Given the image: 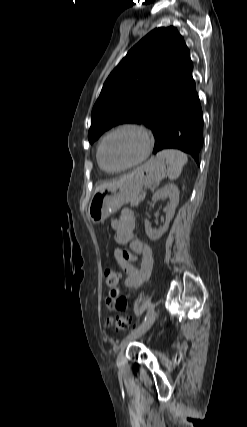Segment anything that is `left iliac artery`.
<instances>
[{
  "label": "left iliac artery",
  "instance_id": "obj_1",
  "mask_svg": "<svg viewBox=\"0 0 247 427\" xmlns=\"http://www.w3.org/2000/svg\"><path fill=\"white\" fill-rule=\"evenodd\" d=\"M153 312H154V306L151 304V305L148 306L147 314H146V316H145L142 324H144L146 322V320L153 314Z\"/></svg>",
  "mask_w": 247,
  "mask_h": 427
}]
</instances>
